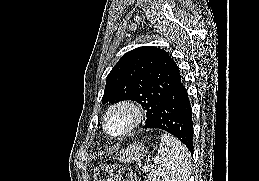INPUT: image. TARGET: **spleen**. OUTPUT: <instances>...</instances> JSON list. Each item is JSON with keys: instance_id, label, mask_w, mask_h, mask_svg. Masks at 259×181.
I'll list each match as a JSON object with an SVG mask.
<instances>
[{"instance_id": "1", "label": "spleen", "mask_w": 259, "mask_h": 181, "mask_svg": "<svg viewBox=\"0 0 259 181\" xmlns=\"http://www.w3.org/2000/svg\"><path fill=\"white\" fill-rule=\"evenodd\" d=\"M154 163L156 166L149 172V181H189L191 171L189 150L170 134H162Z\"/></svg>"}]
</instances>
